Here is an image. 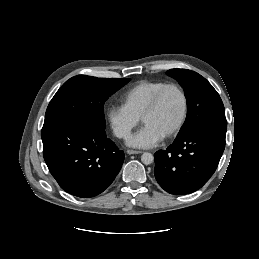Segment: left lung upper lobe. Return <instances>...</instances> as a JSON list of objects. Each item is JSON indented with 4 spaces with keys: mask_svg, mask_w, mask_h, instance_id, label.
<instances>
[{
    "mask_svg": "<svg viewBox=\"0 0 259 259\" xmlns=\"http://www.w3.org/2000/svg\"><path fill=\"white\" fill-rule=\"evenodd\" d=\"M166 74L180 83L187 99L186 121L177 137L206 123L227 124L222 100L204 77L187 69H171Z\"/></svg>",
    "mask_w": 259,
    "mask_h": 259,
    "instance_id": "1",
    "label": "left lung upper lobe"
}]
</instances>
